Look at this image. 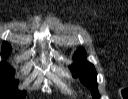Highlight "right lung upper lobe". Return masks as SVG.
Wrapping results in <instances>:
<instances>
[{
	"mask_svg": "<svg viewBox=\"0 0 128 99\" xmlns=\"http://www.w3.org/2000/svg\"><path fill=\"white\" fill-rule=\"evenodd\" d=\"M10 49H11L10 45L7 42H4L2 46L3 54L9 53Z\"/></svg>",
	"mask_w": 128,
	"mask_h": 99,
	"instance_id": "1",
	"label": "right lung upper lobe"
}]
</instances>
